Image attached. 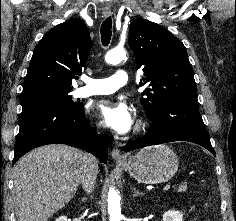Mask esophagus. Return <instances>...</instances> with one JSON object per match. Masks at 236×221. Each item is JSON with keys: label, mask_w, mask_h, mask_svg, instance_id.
I'll list each match as a JSON object with an SVG mask.
<instances>
[{"label": "esophagus", "mask_w": 236, "mask_h": 221, "mask_svg": "<svg viewBox=\"0 0 236 221\" xmlns=\"http://www.w3.org/2000/svg\"><path fill=\"white\" fill-rule=\"evenodd\" d=\"M102 14L104 17H109L112 14L111 10H103ZM111 156L116 162H124V157L122 156L120 150L117 147H114L111 150Z\"/></svg>", "instance_id": "obj_1"}]
</instances>
